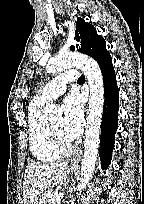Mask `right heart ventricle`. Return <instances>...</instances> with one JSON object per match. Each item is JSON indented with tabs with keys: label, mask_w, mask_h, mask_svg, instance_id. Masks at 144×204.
Listing matches in <instances>:
<instances>
[{
	"label": "right heart ventricle",
	"mask_w": 144,
	"mask_h": 204,
	"mask_svg": "<svg viewBox=\"0 0 144 204\" xmlns=\"http://www.w3.org/2000/svg\"><path fill=\"white\" fill-rule=\"evenodd\" d=\"M44 103L36 100L30 107L28 114L29 146L32 155L41 162H53L61 157L57 149L49 124L42 115Z\"/></svg>",
	"instance_id": "1"
}]
</instances>
